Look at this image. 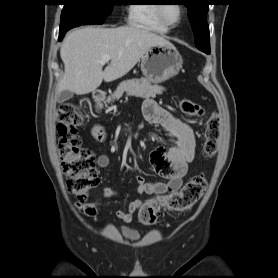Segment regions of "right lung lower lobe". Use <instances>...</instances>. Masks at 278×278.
<instances>
[{
    "label": "right lung lower lobe",
    "instance_id": "1",
    "mask_svg": "<svg viewBox=\"0 0 278 278\" xmlns=\"http://www.w3.org/2000/svg\"><path fill=\"white\" fill-rule=\"evenodd\" d=\"M67 31H60L59 33V40H61L64 36V34L66 33Z\"/></svg>",
    "mask_w": 278,
    "mask_h": 278
}]
</instances>
